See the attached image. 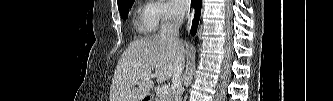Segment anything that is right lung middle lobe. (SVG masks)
Returning <instances> with one entry per match:
<instances>
[{"label": "right lung middle lobe", "instance_id": "obj_1", "mask_svg": "<svg viewBox=\"0 0 333 101\" xmlns=\"http://www.w3.org/2000/svg\"><path fill=\"white\" fill-rule=\"evenodd\" d=\"M134 0H124L118 4L120 15L123 19H127L129 16V9L131 8Z\"/></svg>", "mask_w": 333, "mask_h": 101}]
</instances>
